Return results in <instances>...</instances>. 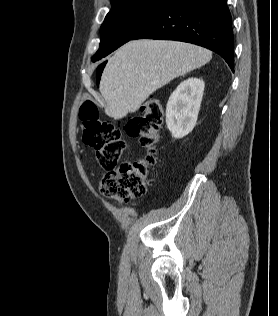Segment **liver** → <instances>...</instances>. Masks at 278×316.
I'll use <instances>...</instances> for the list:
<instances>
[{"label": "liver", "mask_w": 278, "mask_h": 316, "mask_svg": "<svg viewBox=\"0 0 278 316\" xmlns=\"http://www.w3.org/2000/svg\"><path fill=\"white\" fill-rule=\"evenodd\" d=\"M211 51L189 43L136 40L120 47L108 59L99 90L105 113L121 119L171 80L207 64Z\"/></svg>", "instance_id": "6515ba94"}]
</instances>
